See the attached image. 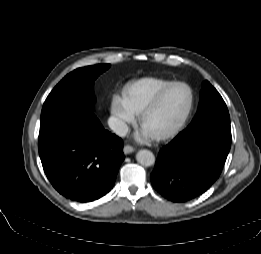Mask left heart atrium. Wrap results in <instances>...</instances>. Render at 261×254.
I'll return each mask as SVG.
<instances>
[{"instance_id":"obj_1","label":"left heart atrium","mask_w":261,"mask_h":254,"mask_svg":"<svg viewBox=\"0 0 261 254\" xmlns=\"http://www.w3.org/2000/svg\"><path fill=\"white\" fill-rule=\"evenodd\" d=\"M149 138V135L147 132L145 131H142L138 136H137V139L138 140H146Z\"/></svg>"}]
</instances>
